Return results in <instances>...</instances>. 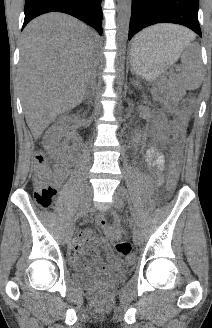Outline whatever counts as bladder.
Returning <instances> with one entry per match:
<instances>
[{"mask_svg":"<svg viewBox=\"0 0 212 328\" xmlns=\"http://www.w3.org/2000/svg\"><path fill=\"white\" fill-rule=\"evenodd\" d=\"M72 277L75 282L83 286H93L99 284H117L126 279L124 273L114 272L105 275L95 274L90 271L85 261H77L74 264Z\"/></svg>","mask_w":212,"mask_h":328,"instance_id":"1","label":"bladder"}]
</instances>
